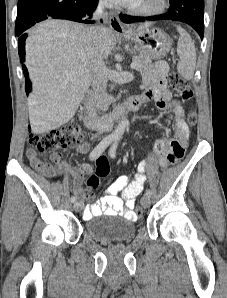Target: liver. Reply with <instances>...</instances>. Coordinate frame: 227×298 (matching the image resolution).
Here are the masks:
<instances>
[{"label": "liver", "mask_w": 227, "mask_h": 298, "mask_svg": "<svg viewBox=\"0 0 227 298\" xmlns=\"http://www.w3.org/2000/svg\"><path fill=\"white\" fill-rule=\"evenodd\" d=\"M145 23L139 28L150 27ZM85 26L67 20L48 19L36 25L26 40L25 65L33 84L30 120L33 132L57 129L75 115L93 79V63ZM103 59L116 42L111 31L97 27Z\"/></svg>", "instance_id": "liver-1"}]
</instances>
